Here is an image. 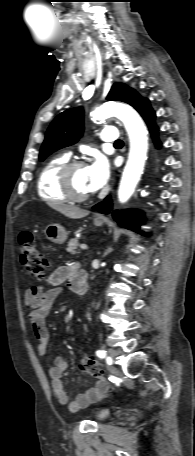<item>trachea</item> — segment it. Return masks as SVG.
<instances>
[{
    "label": "trachea",
    "mask_w": 195,
    "mask_h": 456,
    "mask_svg": "<svg viewBox=\"0 0 195 456\" xmlns=\"http://www.w3.org/2000/svg\"><path fill=\"white\" fill-rule=\"evenodd\" d=\"M122 144H123V141H122V140H117V141L115 142V145H116V146L122 145Z\"/></svg>",
    "instance_id": "3493384b"
}]
</instances>
